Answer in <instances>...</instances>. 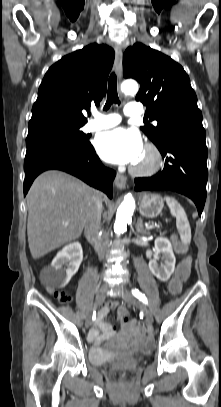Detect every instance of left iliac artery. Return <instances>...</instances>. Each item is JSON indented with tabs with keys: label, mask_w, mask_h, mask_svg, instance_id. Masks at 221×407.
Wrapping results in <instances>:
<instances>
[{
	"label": "left iliac artery",
	"mask_w": 221,
	"mask_h": 407,
	"mask_svg": "<svg viewBox=\"0 0 221 407\" xmlns=\"http://www.w3.org/2000/svg\"><path fill=\"white\" fill-rule=\"evenodd\" d=\"M131 293L137 298L139 299L141 302H143L144 304L148 303V300L146 298V296L140 292L138 289H132Z\"/></svg>",
	"instance_id": "44dca946"
}]
</instances>
